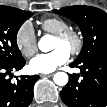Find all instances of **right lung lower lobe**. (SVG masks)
I'll list each match as a JSON object with an SVG mask.
<instances>
[{
  "instance_id": "right-lung-lower-lobe-1",
  "label": "right lung lower lobe",
  "mask_w": 107,
  "mask_h": 107,
  "mask_svg": "<svg viewBox=\"0 0 107 107\" xmlns=\"http://www.w3.org/2000/svg\"><path fill=\"white\" fill-rule=\"evenodd\" d=\"M25 59L6 64L0 62V107H28L33 98V86L39 76H21L12 83L6 76L13 70H20Z\"/></svg>"
}]
</instances>
